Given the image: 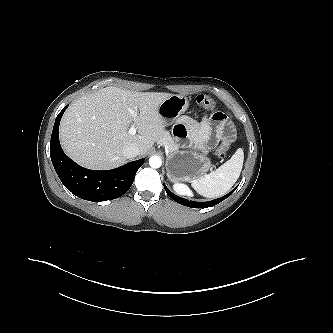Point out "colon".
I'll return each instance as SVG.
<instances>
[{
  "label": "colon",
  "mask_w": 333,
  "mask_h": 333,
  "mask_svg": "<svg viewBox=\"0 0 333 333\" xmlns=\"http://www.w3.org/2000/svg\"><path fill=\"white\" fill-rule=\"evenodd\" d=\"M196 104H197V106H199L201 108H205V109H208L211 111L217 110L216 100L205 94H200L196 97ZM230 148H231L230 139H226L217 148L216 155L219 158H224V157H226Z\"/></svg>",
  "instance_id": "obj_1"
}]
</instances>
